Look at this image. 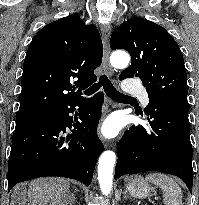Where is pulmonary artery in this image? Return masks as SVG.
<instances>
[{
  "instance_id": "obj_1",
  "label": "pulmonary artery",
  "mask_w": 199,
  "mask_h": 205,
  "mask_svg": "<svg viewBox=\"0 0 199 205\" xmlns=\"http://www.w3.org/2000/svg\"><path fill=\"white\" fill-rule=\"evenodd\" d=\"M125 90L129 93L135 94L139 98L142 106L146 107L149 104V96L144 88H138L130 84L125 87Z\"/></svg>"
}]
</instances>
